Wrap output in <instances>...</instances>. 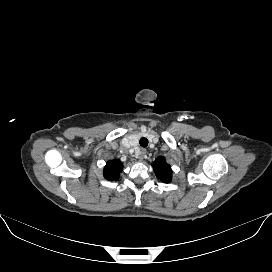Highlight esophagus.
Segmentation results:
<instances>
[{"label":"esophagus","instance_id":"1","mask_svg":"<svg viewBox=\"0 0 272 272\" xmlns=\"http://www.w3.org/2000/svg\"><path fill=\"white\" fill-rule=\"evenodd\" d=\"M146 155V150L142 149L137 153V158L139 161H142Z\"/></svg>","mask_w":272,"mask_h":272}]
</instances>
